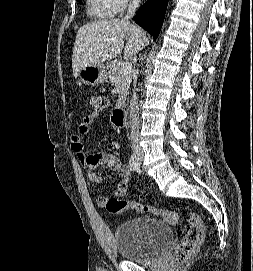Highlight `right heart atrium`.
<instances>
[{
  "label": "right heart atrium",
  "mask_w": 253,
  "mask_h": 271,
  "mask_svg": "<svg viewBox=\"0 0 253 271\" xmlns=\"http://www.w3.org/2000/svg\"><path fill=\"white\" fill-rule=\"evenodd\" d=\"M110 4L113 6L115 11L121 12L127 7L134 5L138 2V0H108Z\"/></svg>",
  "instance_id": "d8ad5b80"
}]
</instances>
